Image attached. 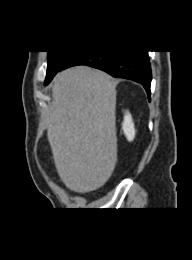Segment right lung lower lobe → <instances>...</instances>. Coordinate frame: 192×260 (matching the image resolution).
Segmentation results:
<instances>
[{
    "instance_id": "right-lung-lower-lobe-1",
    "label": "right lung lower lobe",
    "mask_w": 192,
    "mask_h": 260,
    "mask_svg": "<svg viewBox=\"0 0 192 260\" xmlns=\"http://www.w3.org/2000/svg\"><path fill=\"white\" fill-rule=\"evenodd\" d=\"M147 52L143 50L75 52L66 61L61 70L75 65H87L98 68L113 77L130 79L142 84L150 98L152 77ZM51 80L46 81L45 84L47 85Z\"/></svg>"
}]
</instances>
